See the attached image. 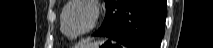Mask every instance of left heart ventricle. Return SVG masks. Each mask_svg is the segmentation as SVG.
<instances>
[{
    "instance_id": "b2bd125f",
    "label": "left heart ventricle",
    "mask_w": 213,
    "mask_h": 48,
    "mask_svg": "<svg viewBox=\"0 0 213 48\" xmlns=\"http://www.w3.org/2000/svg\"><path fill=\"white\" fill-rule=\"evenodd\" d=\"M93 11L84 4H77L68 9L65 16V29L69 33H80L92 22Z\"/></svg>"
}]
</instances>
